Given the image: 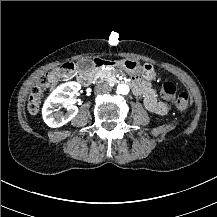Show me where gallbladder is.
<instances>
[{
	"label": "gallbladder",
	"mask_w": 217,
	"mask_h": 217,
	"mask_svg": "<svg viewBox=\"0 0 217 217\" xmlns=\"http://www.w3.org/2000/svg\"><path fill=\"white\" fill-rule=\"evenodd\" d=\"M79 66L81 68H92L93 67V63L90 60H82L79 62Z\"/></svg>",
	"instance_id": "gallbladder-1"
}]
</instances>
